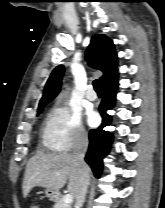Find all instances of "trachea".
<instances>
[{
  "label": "trachea",
  "instance_id": "1",
  "mask_svg": "<svg viewBox=\"0 0 165 208\" xmlns=\"http://www.w3.org/2000/svg\"><path fill=\"white\" fill-rule=\"evenodd\" d=\"M93 86L96 92H102V88H101V84H100V80L96 79L93 82Z\"/></svg>",
  "mask_w": 165,
  "mask_h": 208
}]
</instances>
